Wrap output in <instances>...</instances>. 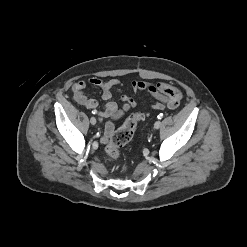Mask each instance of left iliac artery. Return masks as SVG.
<instances>
[{"mask_svg": "<svg viewBox=\"0 0 247 247\" xmlns=\"http://www.w3.org/2000/svg\"><path fill=\"white\" fill-rule=\"evenodd\" d=\"M157 118H158V119H162V118H163V114H162V113L159 114V115L157 116Z\"/></svg>", "mask_w": 247, "mask_h": 247, "instance_id": "obj_1", "label": "left iliac artery"}]
</instances>
